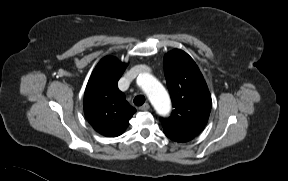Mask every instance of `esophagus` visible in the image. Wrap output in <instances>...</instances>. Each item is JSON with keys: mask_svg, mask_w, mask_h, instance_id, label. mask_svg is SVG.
I'll return each mask as SVG.
<instances>
[{"mask_svg": "<svg viewBox=\"0 0 288 181\" xmlns=\"http://www.w3.org/2000/svg\"><path fill=\"white\" fill-rule=\"evenodd\" d=\"M150 108V105L148 103L143 104L142 106L139 107L140 110L146 111Z\"/></svg>", "mask_w": 288, "mask_h": 181, "instance_id": "esophagus-1", "label": "esophagus"}]
</instances>
